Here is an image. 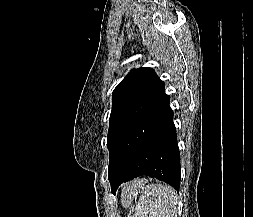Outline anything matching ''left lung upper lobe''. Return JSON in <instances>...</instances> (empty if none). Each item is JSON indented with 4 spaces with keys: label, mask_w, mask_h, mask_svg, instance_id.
<instances>
[{
    "label": "left lung upper lobe",
    "mask_w": 253,
    "mask_h": 217,
    "mask_svg": "<svg viewBox=\"0 0 253 217\" xmlns=\"http://www.w3.org/2000/svg\"><path fill=\"white\" fill-rule=\"evenodd\" d=\"M165 84L153 69L132 70L113 91V106L107 136L109 175L118 146L131 126L166 94Z\"/></svg>",
    "instance_id": "1"
}]
</instances>
